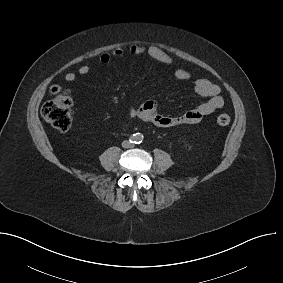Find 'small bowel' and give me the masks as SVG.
<instances>
[{"label":"small bowel","instance_id":"c3829d8e","mask_svg":"<svg viewBox=\"0 0 283 283\" xmlns=\"http://www.w3.org/2000/svg\"><path fill=\"white\" fill-rule=\"evenodd\" d=\"M129 52L133 55L146 54L150 58L163 64L170 65L173 63V58L157 46L133 44L129 47ZM124 53V50L120 47L111 52L102 53L99 57V62L101 64H109L114 59L122 57ZM89 72L90 66L88 65H82L77 70V74L81 76L87 75ZM77 74L69 72L65 75V80L67 82H74L77 78ZM174 76L179 81H187L191 78L190 72L185 69H177ZM193 89L197 95L206 98V101L180 116L161 114L158 111L157 103L153 100L145 101L138 107L131 108L130 116L157 127L168 128L199 123L205 116L214 113L224 106V99L219 86L210 80L204 78L196 80Z\"/></svg>","mask_w":283,"mask_h":283}]
</instances>
